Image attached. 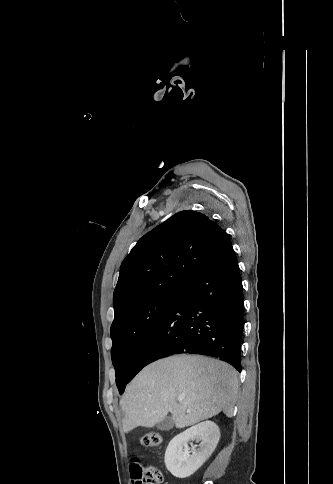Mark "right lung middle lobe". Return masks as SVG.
Wrapping results in <instances>:
<instances>
[{
    "mask_svg": "<svg viewBox=\"0 0 333 484\" xmlns=\"http://www.w3.org/2000/svg\"><path fill=\"white\" fill-rule=\"evenodd\" d=\"M178 292L179 290H170L154 296L113 321L112 362L120 394L128 383L140 347L162 319Z\"/></svg>",
    "mask_w": 333,
    "mask_h": 484,
    "instance_id": "right-lung-middle-lobe-1",
    "label": "right lung middle lobe"
}]
</instances>
